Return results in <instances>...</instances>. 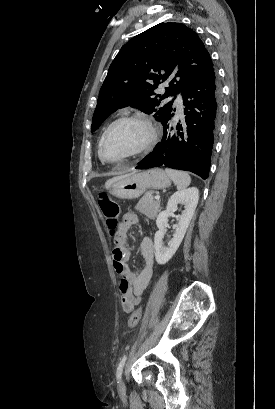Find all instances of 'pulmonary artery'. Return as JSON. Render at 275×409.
I'll return each instance as SVG.
<instances>
[{
	"instance_id": "e3ab8cb5",
	"label": "pulmonary artery",
	"mask_w": 275,
	"mask_h": 409,
	"mask_svg": "<svg viewBox=\"0 0 275 409\" xmlns=\"http://www.w3.org/2000/svg\"><path fill=\"white\" fill-rule=\"evenodd\" d=\"M174 105H175L176 108H177V113H178V115L181 116V115H182V112H183V99H182V97H181L180 94H178V95L176 96Z\"/></svg>"
}]
</instances>
